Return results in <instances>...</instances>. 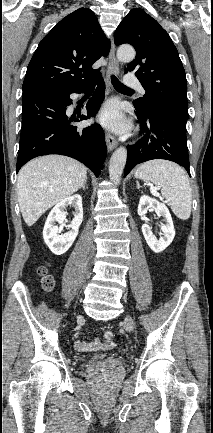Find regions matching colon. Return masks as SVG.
Returning <instances> with one entry per match:
<instances>
[{"mask_svg": "<svg viewBox=\"0 0 213 433\" xmlns=\"http://www.w3.org/2000/svg\"><path fill=\"white\" fill-rule=\"evenodd\" d=\"M38 275L42 277V287L46 291H50L54 287V280L53 278L48 274L47 268L45 266H40L37 269ZM104 339L107 342H112L114 334L110 330H106L103 334Z\"/></svg>", "mask_w": 213, "mask_h": 433, "instance_id": "5ec220e1", "label": "colon"}]
</instances>
